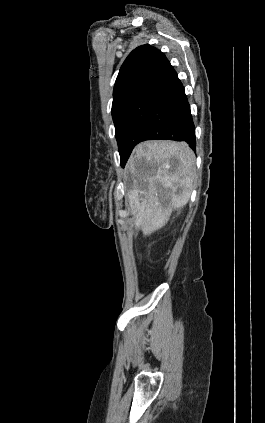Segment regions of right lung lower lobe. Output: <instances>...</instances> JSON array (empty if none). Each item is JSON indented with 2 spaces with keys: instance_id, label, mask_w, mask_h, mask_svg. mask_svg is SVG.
<instances>
[{
  "instance_id": "98d812e1",
  "label": "right lung lower lobe",
  "mask_w": 265,
  "mask_h": 423,
  "mask_svg": "<svg viewBox=\"0 0 265 423\" xmlns=\"http://www.w3.org/2000/svg\"><path fill=\"white\" fill-rule=\"evenodd\" d=\"M144 140L185 141L191 149L196 148L189 103L172 67L146 95L124 130L121 143L127 159L134 146Z\"/></svg>"
}]
</instances>
